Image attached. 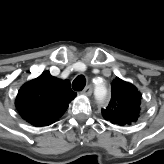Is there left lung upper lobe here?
Masks as SVG:
<instances>
[{
	"mask_svg": "<svg viewBox=\"0 0 164 164\" xmlns=\"http://www.w3.org/2000/svg\"><path fill=\"white\" fill-rule=\"evenodd\" d=\"M111 100L103 117L113 124L126 125L137 120L140 112L141 94L130 83L116 77L112 83Z\"/></svg>",
	"mask_w": 164,
	"mask_h": 164,
	"instance_id": "left-lung-upper-lobe-1",
	"label": "left lung upper lobe"
}]
</instances>
